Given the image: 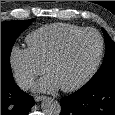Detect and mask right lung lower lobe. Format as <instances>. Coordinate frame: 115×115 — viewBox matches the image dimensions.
I'll list each match as a JSON object with an SVG mask.
<instances>
[{
    "label": "right lung lower lobe",
    "instance_id": "obj_1",
    "mask_svg": "<svg viewBox=\"0 0 115 115\" xmlns=\"http://www.w3.org/2000/svg\"><path fill=\"white\" fill-rule=\"evenodd\" d=\"M34 99L23 92L13 77L1 78V115H27Z\"/></svg>",
    "mask_w": 115,
    "mask_h": 115
}]
</instances>
